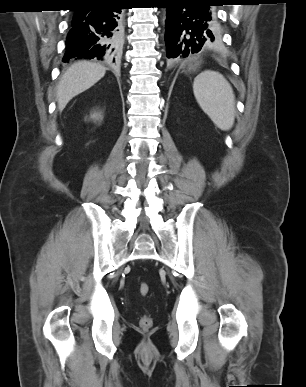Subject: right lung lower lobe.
Returning a JSON list of instances; mask_svg holds the SVG:
<instances>
[{
	"label": "right lung lower lobe",
	"instance_id": "98d812e1",
	"mask_svg": "<svg viewBox=\"0 0 306 387\" xmlns=\"http://www.w3.org/2000/svg\"><path fill=\"white\" fill-rule=\"evenodd\" d=\"M123 6L118 0H102L74 10L62 61L75 58L114 62L121 47Z\"/></svg>",
	"mask_w": 306,
	"mask_h": 387
}]
</instances>
